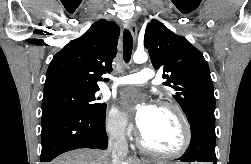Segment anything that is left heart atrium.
Listing matches in <instances>:
<instances>
[{
    "label": "left heart atrium",
    "mask_w": 251,
    "mask_h": 164,
    "mask_svg": "<svg viewBox=\"0 0 251 164\" xmlns=\"http://www.w3.org/2000/svg\"><path fill=\"white\" fill-rule=\"evenodd\" d=\"M155 108V106L148 104L136 115V125L141 133L148 127L154 114Z\"/></svg>",
    "instance_id": "left-heart-atrium-1"
}]
</instances>
